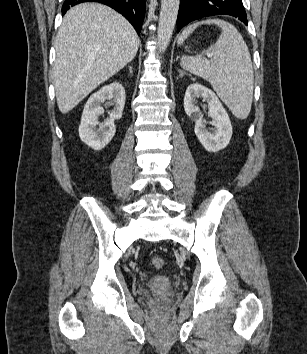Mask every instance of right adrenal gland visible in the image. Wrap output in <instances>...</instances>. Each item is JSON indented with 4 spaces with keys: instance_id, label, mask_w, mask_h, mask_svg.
<instances>
[{
    "instance_id": "2a0ac1e0",
    "label": "right adrenal gland",
    "mask_w": 307,
    "mask_h": 354,
    "mask_svg": "<svg viewBox=\"0 0 307 354\" xmlns=\"http://www.w3.org/2000/svg\"><path fill=\"white\" fill-rule=\"evenodd\" d=\"M129 72H130V74L133 73V68H132V66H129Z\"/></svg>"
}]
</instances>
